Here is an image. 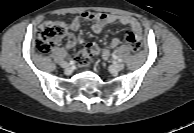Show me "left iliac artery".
<instances>
[{"instance_id":"obj_1","label":"left iliac artery","mask_w":194,"mask_h":133,"mask_svg":"<svg viewBox=\"0 0 194 133\" xmlns=\"http://www.w3.org/2000/svg\"><path fill=\"white\" fill-rule=\"evenodd\" d=\"M113 58H114L115 60L119 61V62L122 61V60H121L118 56H116V55H114Z\"/></svg>"}]
</instances>
